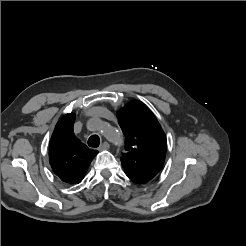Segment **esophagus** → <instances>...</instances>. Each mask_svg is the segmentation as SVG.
<instances>
[{"instance_id":"34e87169","label":"esophagus","mask_w":246,"mask_h":246,"mask_svg":"<svg viewBox=\"0 0 246 246\" xmlns=\"http://www.w3.org/2000/svg\"><path fill=\"white\" fill-rule=\"evenodd\" d=\"M109 147H110V145H109L108 142H103V143L100 145L99 149H100V150H107V149H109Z\"/></svg>"}]
</instances>
